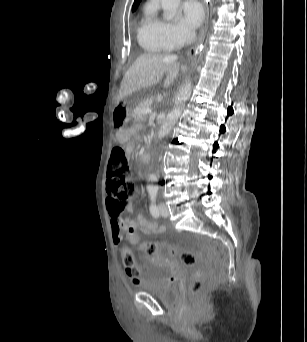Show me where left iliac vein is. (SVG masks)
<instances>
[{"label":"left iliac vein","mask_w":307,"mask_h":342,"mask_svg":"<svg viewBox=\"0 0 307 342\" xmlns=\"http://www.w3.org/2000/svg\"><path fill=\"white\" fill-rule=\"evenodd\" d=\"M159 211H160V215H162L163 217H167L169 215L168 208L164 204H161L159 206Z\"/></svg>","instance_id":"left-iliac-vein-1"}]
</instances>
